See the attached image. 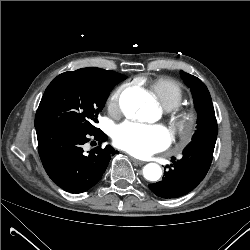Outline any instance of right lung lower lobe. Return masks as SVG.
<instances>
[{
    "mask_svg": "<svg viewBox=\"0 0 250 250\" xmlns=\"http://www.w3.org/2000/svg\"><path fill=\"white\" fill-rule=\"evenodd\" d=\"M39 155L47 174L59 187L71 193L87 191L101 179L111 157L118 153L110 145L98 146L88 156L83 145L90 136L99 143L107 136L101 130L67 126L36 127Z\"/></svg>",
    "mask_w": 250,
    "mask_h": 250,
    "instance_id": "1",
    "label": "right lung lower lobe"
}]
</instances>
